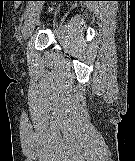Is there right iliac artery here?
I'll list each match as a JSON object with an SVG mask.
<instances>
[{
	"instance_id": "obj_1",
	"label": "right iliac artery",
	"mask_w": 135,
	"mask_h": 161,
	"mask_svg": "<svg viewBox=\"0 0 135 161\" xmlns=\"http://www.w3.org/2000/svg\"><path fill=\"white\" fill-rule=\"evenodd\" d=\"M34 4H30L28 7H27V9H26V11H25V13H24V16H23V19H27L29 16H30V12H31V10H32V6H33Z\"/></svg>"
}]
</instances>
